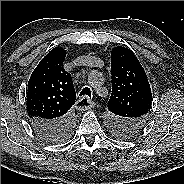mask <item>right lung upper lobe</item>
<instances>
[{"label": "right lung upper lobe", "instance_id": "right-lung-upper-lobe-1", "mask_svg": "<svg viewBox=\"0 0 184 184\" xmlns=\"http://www.w3.org/2000/svg\"><path fill=\"white\" fill-rule=\"evenodd\" d=\"M66 51L53 48L33 71L27 90L30 120L55 121L70 114L76 93L72 78L63 68Z\"/></svg>", "mask_w": 184, "mask_h": 184}]
</instances>
